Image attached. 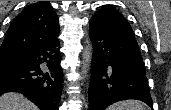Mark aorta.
I'll use <instances>...</instances> for the list:
<instances>
[{
	"instance_id": "obj_1",
	"label": "aorta",
	"mask_w": 171,
	"mask_h": 110,
	"mask_svg": "<svg viewBox=\"0 0 171 110\" xmlns=\"http://www.w3.org/2000/svg\"><path fill=\"white\" fill-rule=\"evenodd\" d=\"M92 53H93L92 45L88 44L86 49L83 51V55H82L83 61H82L81 79H84L87 76L91 64Z\"/></svg>"
}]
</instances>
